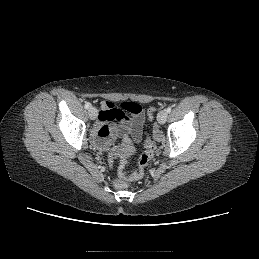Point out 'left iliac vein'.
<instances>
[{"label":"left iliac vein","mask_w":259,"mask_h":259,"mask_svg":"<svg viewBox=\"0 0 259 259\" xmlns=\"http://www.w3.org/2000/svg\"><path fill=\"white\" fill-rule=\"evenodd\" d=\"M167 117H168V113L166 112V110H161L157 115L158 123L164 124L167 120Z\"/></svg>","instance_id":"4c4485c4"}]
</instances>
